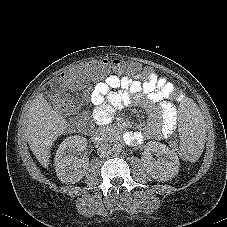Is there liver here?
<instances>
[{"mask_svg": "<svg viewBox=\"0 0 227 227\" xmlns=\"http://www.w3.org/2000/svg\"><path fill=\"white\" fill-rule=\"evenodd\" d=\"M66 128V119L52 109L43 93L38 94L28 110L26 136L31 151L43 167H48L50 148Z\"/></svg>", "mask_w": 227, "mask_h": 227, "instance_id": "1", "label": "liver"}]
</instances>
